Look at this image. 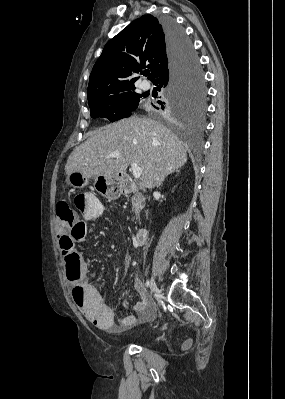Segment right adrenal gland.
Returning a JSON list of instances; mask_svg holds the SVG:
<instances>
[{"mask_svg": "<svg viewBox=\"0 0 285 399\" xmlns=\"http://www.w3.org/2000/svg\"><path fill=\"white\" fill-rule=\"evenodd\" d=\"M173 172L179 173L180 171L178 169H175V170H172L170 173H173Z\"/></svg>", "mask_w": 285, "mask_h": 399, "instance_id": "obj_1", "label": "right adrenal gland"}]
</instances>
